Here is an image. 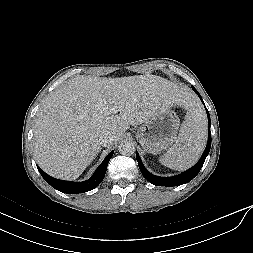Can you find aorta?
<instances>
[{
    "label": "aorta",
    "mask_w": 253,
    "mask_h": 253,
    "mask_svg": "<svg viewBox=\"0 0 253 253\" xmlns=\"http://www.w3.org/2000/svg\"><path fill=\"white\" fill-rule=\"evenodd\" d=\"M119 152L122 155H132L135 152V146L131 141L124 140L119 144Z\"/></svg>",
    "instance_id": "aorta-1"
}]
</instances>
